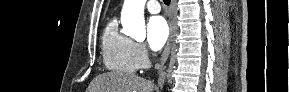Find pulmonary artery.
Here are the masks:
<instances>
[{"label":"pulmonary artery","mask_w":289,"mask_h":92,"mask_svg":"<svg viewBox=\"0 0 289 92\" xmlns=\"http://www.w3.org/2000/svg\"><path fill=\"white\" fill-rule=\"evenodd\" d=\"M146 9L152 13V14H157L160 12V5L157 0H149L146 3Z\"/></svg>","instance_id":"pulmonary-artery-1"}]
</instances>
